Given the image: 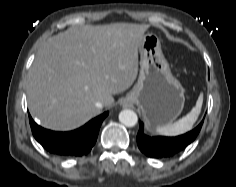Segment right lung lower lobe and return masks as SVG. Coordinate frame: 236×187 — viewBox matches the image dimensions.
Here are the masks:
<instances>
[{
	"instance_id": "obj_1",
	"label": "right lung lower lobe",
	"mask_w": 236,
	"mask_h": 187,
	"mask_svg": "<svg viewBox=\"0 0 236 187\" xmlns=\"http://www.w3.org/2000/svg\"><path fill=\"white\" fill-rule=\"evenodd\" d=\"M108 112L92 119L84 126L70 132H55L44 129L29 116L30 126L35 139L48 152L64 157L87 155L94 146L100 126Z\"/></svg>"
}]
</instances>
